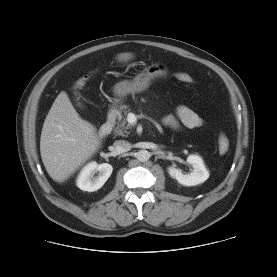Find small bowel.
Returning a JSON list of instances; mask_svg holds the SVG:
<instances>
[{
    "label": "small bowel",
    "mask_w": 277,
    "mask_h": 277,
    "mask_svg": "<svg viewBox=\"0 0 277 277\" xmlns=\"http://www.w3.org/2000/svg\"><path fill=\"white\" fill-rule=\"evenodd\" d=\"M163 124L178 129L181 125L193 129L203 125V119L192 109L185 105L177 107L175 115H167L163 119Z\"/></svg>",
    "instance_id": "obj_1"
}]
</instances>
